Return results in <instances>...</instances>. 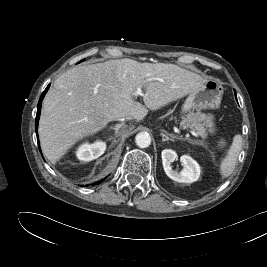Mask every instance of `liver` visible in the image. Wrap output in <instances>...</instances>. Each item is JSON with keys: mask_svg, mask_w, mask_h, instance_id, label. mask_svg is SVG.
Returning <instances> with one entry per match:
<instances>
[{"mask_svg": "<svg viewBox=\"0 0 267 267\" xmlns=\"http://www.w3.org/2000/svg\"><path fill=\"white\" fill-rule=\"evenodd\" d=\"M146 79L151 81L144 82ZM207 82L174 64L140 63L132 59L74 67L59 76L47 92L39 121L43 153L55 163L79 140L118 118L142 120ZM144 88V105L133 99ZM148 108V109H147Z\"/></svg>", "mask_w": 267, "mask_h": 267, "instance_id": "liver-1", "label": "liver"}]
</instances>
